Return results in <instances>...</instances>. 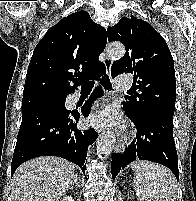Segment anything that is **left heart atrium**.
I'll return each instance as SVG.
<instances>
[{
  "label": "left heart atrium",
  "mask_w": 196,
  "mask_h": 201,
  "mask_svg": "<svg viewBox=\"0 0 196 201\" xmlns=\"http://www.w3.org/2000/svg\"><path fill=\"white\" fill-rule=\"evenodd\" d=\"M90 122L96 127L117 126L120 119L113 108H106L94 113L90 118Z\"/></svg>",
  "instance_id": "1"
}]
</instances>
